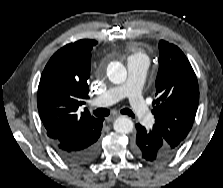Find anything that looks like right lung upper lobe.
<instances>
[{"label": "right lung upper lobe", "mask_w": 223, "mask_h": 188, "mask_svg": "<svg viewBox=\"0 0 223 188\" xmlns=\"http://www.w3.org/2000/svg\"><path fill=\"white\" fill-rule=\"evenodd\" d=\"M97 41L83 39L59 49L41 75L37 92L40 118L52 141L83 136L99 118L88 112L77 114L89 98L91 50Z\"/></svg>", "instance_id": "obj_1"}]
</instances>
